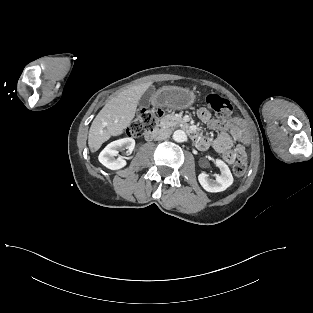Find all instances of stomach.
Instances as JSON below:
<instances>
[{
  "instance_id": "stomach-1",
  "label": "stomach",
  "mask_w": 313,
  "mask_h": 313,
  "mask_svg": "<svg viewBox=\"0 0 313 313\" xmlns=\"http://www.w3.org/2000/svg\"><path fill=\"white\" fill-rule=\"evenodd\" d=\"M195 99L196 94L193 89L166 86L158 90L153 103L160 108L180 110L191 106Z\"/></svg>"
}]
</instances>
